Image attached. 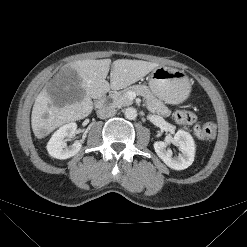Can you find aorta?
<instances>
[{"label": "aorta", "mask_w": 247, "mask_h": 247, "mask_svg": "<svg viewBox=\"0 0 247 247\" xmlns=\"http://www.w3.org/2000/svg\"><path fill=\"white\" fill-rule=\"evenodd\" d=\"M124 114L127 119L134 120L137 117V110L133 107H128Z\"/></svg>", "instance_id": "1"}]
</instances>
